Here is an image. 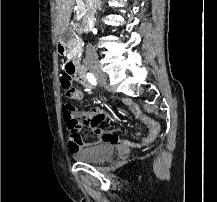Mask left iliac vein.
<instances>
[{"mask_svg":"<svg viewBox=\"0 0 217 202\" xmlns=\"http://www.w3.org/2000/svg\"><path fill=\"white\" fill-rule=\"evenodd\" d=\"M100 85H104L105 82H102L101 80H99Z\"/></svg>","mask_w":217,"mask_h":202,"instance_id":"1","label":"left iliac vein"}]
</instances>
